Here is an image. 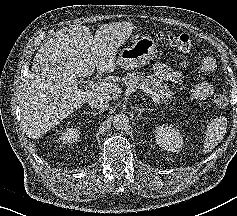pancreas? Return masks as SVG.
<instances>
[{
    "label": "pancreas",
    "mask_w": 237,
    "mask_h": 216,
    "mask_svg": "<svg viewBox=\"0 0 237 216\" xmlns=\"http://www.w3.org/2000/svg\"><path fill=\"white\" fill-rule=\"evenodd\" d=\"M124 82L128 86L142 89L147 95L156 96L158 94L160 98H171L173 94V91L169 90V87L164 85L162 81L152 75L145 76L143 72L139 71L128 73L124 78Z\"/></svg>",
    "instance_id": "pancreas-1"
}]
</instances>
